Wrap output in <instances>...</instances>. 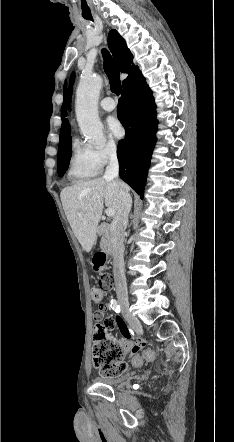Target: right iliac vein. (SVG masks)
I'll list each match as a JSON object with an SVG mask.
<instances>
[{"label":"right iliac vein","instance_id":"right-iliac-vein-1","mask_svg":"<svg viewBox=\"0 0 234 442\" xmlns=\"http://www.w3.org/2000/svg\"><path fill=\"white\" fill-rule=\"evenodd\" d=\"M120 305H121L124 317L126 318L128 323L132 327L137 328L140 325V323H139L138 318L129 311V303H128V301L127 300H120Z\"/></svg>","mask_w":234,"mask_h":442}]
</instances>
